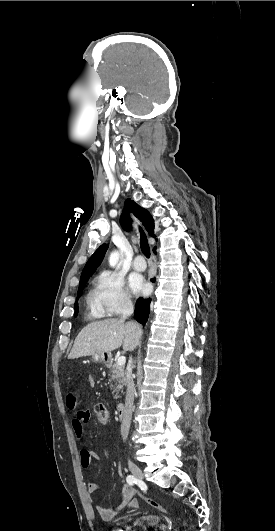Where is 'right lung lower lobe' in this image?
Listing matches in <instances>:
<instances>
[{
  "mask_svg": "<svg viewBox=\"0 0 275 531\" xmlns=\"http://www.w3.org/2000/svg\"><path fill=\"white\" fill-rule=\"evenodd\" d=\"M153 251L156 254L155 249ZM151 281L154 282L155 278L151 279ZM150 302L151 299L143 298H139L136 302L134 315L136 320L143 325L147 322L149 317Z\"/></svg>",
  "mask_w": 275,
  "mask_h": 531,
  "instance_id": "right-lung-lower-lobe-1",
  "label": "right lung lower lobe"
}]
</instances>
